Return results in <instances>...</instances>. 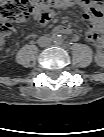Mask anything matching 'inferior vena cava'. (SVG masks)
<instances>
[{
  "mask_svg": "<svg viewBox=\"0 0 104 137\" xmlns=\"http://www.w3.org/2000/svg\"><path fill=\"white\" fill-rule=\"evenodd\" d=\"M39 45H40V47H42V48H47V47H49V45H50V40H49V38H47V37H42V38H40V40H39Z\"/></svg>",
  "mask_w": 104,
  "mask_h": 137,
  "instance_id": "1",
  "label": "inferior vena cava"
}]
</instances>
